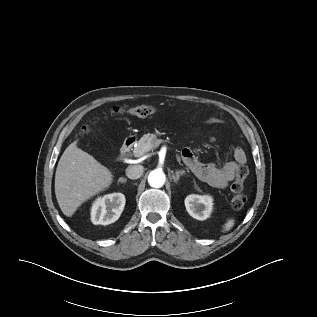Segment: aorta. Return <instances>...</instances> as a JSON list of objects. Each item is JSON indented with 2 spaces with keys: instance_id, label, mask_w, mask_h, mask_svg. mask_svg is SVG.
Listing matches in <instances>:
<instances>
[{
  "instance_id": "1",
  "label": "aorta",
  "mask_w": 317,
  "mask_h": 317,
  "mask_svg": "<svg viewBox=\"0 0 317 317\" xmlns=\"http://www.w3.org/2000/svg\"><path fill=\"white\" fill-rule=\"evenodd\" d=\"M165 174L160 169H155L148 175V183L151 187L160 188L165 183Z\"/></svg>"
}]
</instances>
